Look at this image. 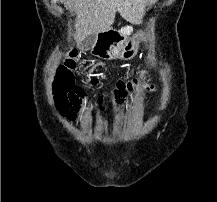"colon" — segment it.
<instances>
[{"label":"colon","mask_w":217,"mask_h":202,"mask_svg":"<svg viewBox=\"0 0 217 202\" xmlns=\"http://www.w3.org/2000/svg\"><path fill=\"white\" fill-rule=\"evenodd\" d=\"M72 55H68L67 59H62V64H66V67H57L53 79L61 80L62 82H56L58 103L64 105L66 102H78L83 94L81 89H78V82H71L73 78H80V73H75L77 64L74 63L76 56L81 55V50H75V47H70ZM138 74H143V69H138ZM136 80L118 81L113 88L105 91H92V96H97L95 103L98 105L108 106L110 104L116 107H122L126 104L128 94L135 88ZM73 96V97H64ZM67 111H76V106H67ZM59 117H76V112H59ZM92 117H98V112H92Z\"/></svg>","instance_id":"1"}]
</instances>
